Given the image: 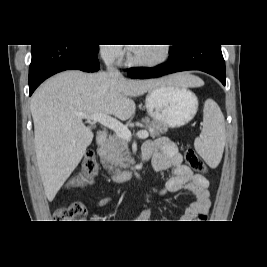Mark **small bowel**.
I'll return each instance as SVG.
<instances>
[{
	"mask_svg": "<svg viewBox=\"0 0 267 267\" xmlns=\"http://www.w3.org/2000/svg\"><path fill=\"white\" fill-rule=\"evenodd\" d=\"M142 158L151 160L153 169L156 172L170 171L171 176L167 180L165 187L160 192L161 195L176 193L185 189L195 197L194 202L186 209L181 220L189 222L197 214L207 212L210 207V194L208 191L209 182L201 174L193 171L183 163L181 154L176 145L168 138L161 137L155 140H148L142 146ZM91 179L87 182L90 183ZM73 186L80 185L78 179H74ZM109 198L100 200L99 205L103 206L109 202ZM140 222H152V212L147 209L139 217Z\"/></svg>",
	"mask_w": 267,
	"mask_h": 267,
	"instance_id": "obj_1",
	"label": "small bowel"
}]
</instances>
